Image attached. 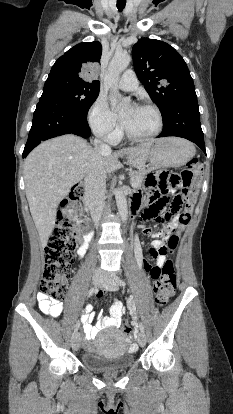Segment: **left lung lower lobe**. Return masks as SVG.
Instances as JSON below:
<instances>
[{
  "label": "left lung lower lobe",
  "instance_id": "0a47b994",
  "mask_svg": "<svg viewBox=\"0 0 233 414\" xmlns=\"http://www.w3.org/2000/svg\"><path fill=\"white\" fill-rule=\"evenodd\" d=\"M166 136L188 139L197 144L206 154L197 97L178 101L163 117V130L158 137Z\"/></svg>",
  "mask_w": 233,
  "mask_h": 414
}]
</instances>
